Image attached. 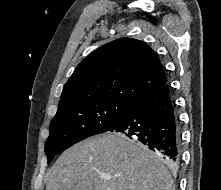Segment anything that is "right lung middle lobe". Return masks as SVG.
<instances>
[{"label": "right lung middle lobe", "instance_id": "dd1d6c3e", "mask_svg": "<svg viewBox=\"0 0 221 190\" xmlns=\"http://www.w3.org/2000/svg\"><path fill=\"white\" fill-rule=\"evenodd\" d=\"M131 104L119 100H98L58 109L50 124L45 144L48 163L53 156L75 143L113 129Z\"/></svg>", "mask_w": 221, "mask_h": 190}]
</instances>
